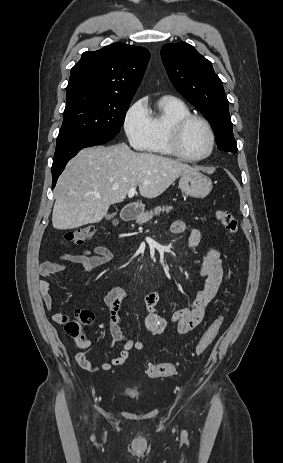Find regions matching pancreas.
Segmentation results:
<instances>
[{
    "instance_id": "obj_1",
    "label": "pancreas",
    "mask_w": 283,
    "mask_h": 463,
    "mask_svg": "<svg viewBox=\"0 0 283 463\" xmlns=\"http://www.w3.org/2000/svg\"><path fill=\"white\" fill-rule=\"evenodd\" d=\"M171 210H172L171 206H162V207L158 206V207L154 208V210H150L149 212H145V213L139 215L136 218V223L139 224V225H142V224L147 223L148 221H150L154 216L159 215L161 212L169 213Z\"/></svg>"
}]
</instances>
